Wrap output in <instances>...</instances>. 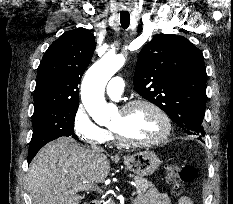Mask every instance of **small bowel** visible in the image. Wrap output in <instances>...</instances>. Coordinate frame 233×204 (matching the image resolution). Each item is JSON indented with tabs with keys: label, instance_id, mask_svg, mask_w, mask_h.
Listing matches in <instances>:
<instances>
[{
	"label": "small bowel",
	"instance_id": "1",
	"mask_svg": "<svg viewBox=\"0 0 233 204\" xmlns=\"http://www.w3.org/2000/svg\"><path fill=\"white\" fill-rule=\"evenodd\" d=\"M177 203L176 204H193L190 198L182 193L176 195ZM134 204H172L169 196L156 189L150 188L144 193H141L137 196L134 201Z\"/></svg>",
	"mask_w": 233,
	"mask_h": 204
}]
</instances>
